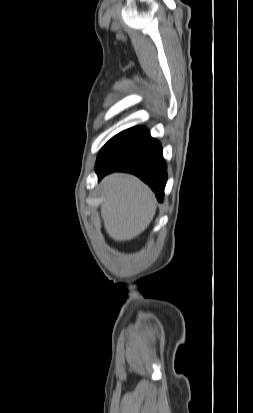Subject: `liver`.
Instances as JSON below:
<instances>
[{
	"label": "liver",
	"instance_id": "1",
	"mask_svg": "<svg viewBox=\"0 0 253 413\" xmlns=\"http://www.w3.org/2000/svg\"><path fill=\"white\" fill-rule=\"evenodd\" d=\"M101 186L104 194L101 215L108 235L116 241H127L141 234L156 212V200L150 188L125 173L106 176Z\"/></svg>",
	"mask_w": 253,
	"mask_h": 413
}]
</instances>
